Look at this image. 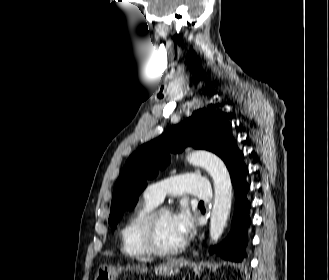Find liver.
I'll list each match as a JSON object with an SVG mask.
<instances>
[{
    "label": "liver",
    "mask_w": 329,
    "mask_h": 280,
    "mask_svg": "<svg viewBox=\"0 0 329 280\" xmlns=\"http://www.w3.org/2000/svg\"><path fill=\"white\" fill-rule=\"evenodd\" d=\"M137 260L143 261V262H151L152 261V259H150V258H137Z\"/></svg>",
    "instance_id": "obj_1"
}]
</instances>
